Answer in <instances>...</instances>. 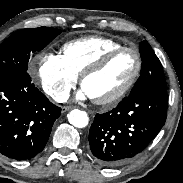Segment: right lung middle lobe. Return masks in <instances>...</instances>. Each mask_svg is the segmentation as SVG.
<instances>
[{"label":"right lung middle lobe","instance_id":"obj_1","mask_svg":"<svg viewBox=\"0 0 183 183\" xmlns=\"http://www.w3.org/2000/svg\"><path fill=\"white\" fill-rule=\"evenodd\" d=\"M61 30L51 27L21 29L0 45V75L27 71L31 53L42 50Z\"/></svg>","mask_w":183,"mask_h":183}]
</instances>
